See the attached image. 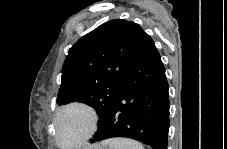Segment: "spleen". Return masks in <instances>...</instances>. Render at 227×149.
I'll return each mask as SVG.
<instances>
[{"instance_id":"1","label":"spleen","mask_w":227,"mask_h":149,"mask_svg":"<svg viewBox=\"0 0 227 149\" xmlns=\"http://www.w3.org/2000/svg\"><path fill=\"white\" fill-rule=\"evenodd\" d=\"M103 145H109V149H144L141 143L128 138L109 139Z\"/></svg>"}]
</instances>
